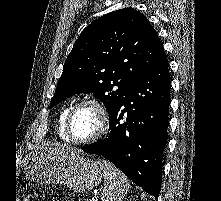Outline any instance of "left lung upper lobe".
<instances>
[{"mask_svg": "<svg viewBox=\"0 0 221 201\" xmlns=\"http://www.w3.org/2000/svg\"><path fill=\"white\" fill-rule=\"evenodd\" d=\"M165 58L146 17L133 8L108 13L88 25L74 43L50 107L78 93H93L109 116L130 89Z\"/></svg>", "mask_w": 221, "mask_h": 201, "instance_id": "1", "label": "left lung upper lobe"}]
</instances>
